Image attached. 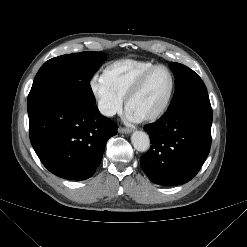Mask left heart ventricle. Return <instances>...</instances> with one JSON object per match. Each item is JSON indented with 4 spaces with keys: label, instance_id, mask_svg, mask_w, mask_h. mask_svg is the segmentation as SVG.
<instances>
[{
    "label": "left heart ventricle",
    "instance_id": "obj_1",
    "mask_svg": "<svg viewBox=\"0 0 247 247\" xmlns=\"http://www.w3.org/2000/svg\"><path fill=\"white\" fill-rule=\"evenodd\" d=\"M170 89V78L166 70H155L143 90L130 103L129 108L141 116L147 115L161 106Z\"/></svg>",
    "mask_w": 247,
    "mask_h": 247
}]
</instances>
